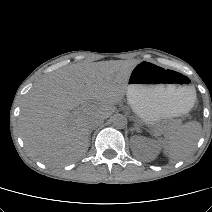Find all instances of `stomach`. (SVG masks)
<instances>
[{"mask_svg": "<svg viewBox=\"0 0 212 212\" xmlns=\"http://www.w3.org/2000/svg\"><path fill=\"white\" fill-rule=\"evenodd\" d=\"M188 83L180 73L142 61L130 73L127 99L145 124L154 125L160 119L180 116L192 108L196 93Z\"/></svg>", "mask_w": 212, "mask_h": 212, "instance_id": "obj_1", "label": "stomach"}]
</instances>
